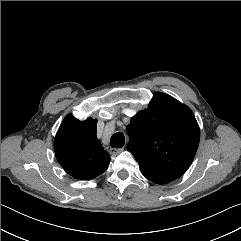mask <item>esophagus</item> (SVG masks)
<instances>
[{
  "label": "esophagus",
  "instance_id": "obj_1",
  "mask_svg": "<svg viewBox=\"0 0 241 241\" xmlns=\"http://www.w3.org/2000/svg\"><path fill=\"white\" fill-rule=\"evenodd\" d=\"M124 150V148H110V153L112 154V155H117V154H119V153H121L122 151Z\"/></svg>",
  "mask_w": 241,
  "mask_h": 241
}]
</instances>
